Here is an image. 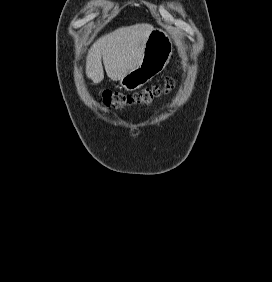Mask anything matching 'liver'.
Segmentation results:
<instances>
[{"instance_id": "6515ba94", "label": "liver", "mask_w": 272, "mask_h": 282, "mask_svg": "<svg viewBox=\"0 0 272 282\" xmlns=\"http://www.w3.org/2000/svg\"><path fill=\"white\" fill-rule=\"evenodd\" d=\"M152 29V25L141 23L118 28L100 37L86 57L87 77L95 84L104 79L103 60L107 76L114 81L122 79L140 63Z\"/></svg>"}]
</instances>
